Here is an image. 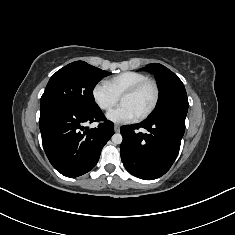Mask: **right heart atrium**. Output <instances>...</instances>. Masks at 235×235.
<instances>
[{
	"instance_id": "right-heart-atrium-1",
	"label": "right heart atrium",
	"mask_w": 235,
	"mask_h": 235,
	"mask_svg": "<svg viewBox=\"0 0 235 235\" xmlns=\"http://www.w3.org/2000/svg\"><path fill=\"white\" fill-rule=\"evenodd\" d=\"M91 94L93 101L102 111H110L119 101V97L105 81L96 83L92 88Z\"/></svg>"
}]
</instances>
